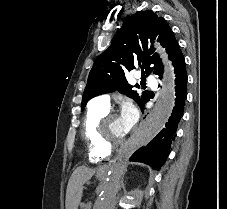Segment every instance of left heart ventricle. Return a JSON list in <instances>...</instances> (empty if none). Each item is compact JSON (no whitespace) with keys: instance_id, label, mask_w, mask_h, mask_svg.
<instances>
[{"instance_id":"obj_1","label":"left heart ventricle","mask_w":227,"mask_h":209,"mask_svg":"<svg viewBox=\"0 0 227 209\" xmlns=\"http://www.w3.org/2000/svg\"><path fill=\"white\" fill-rule=\"evenodd\" d=\"M104 131L106 137L112 141L126 139L128 136V130L122 125L119 117L109 121Z\"/></svg>"}]
</instances>
